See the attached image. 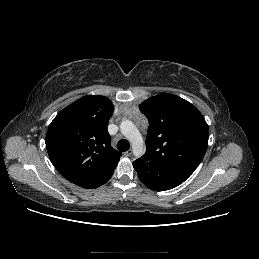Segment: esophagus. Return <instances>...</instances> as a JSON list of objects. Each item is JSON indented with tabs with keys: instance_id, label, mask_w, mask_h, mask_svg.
Instances as JSON below:
<instances>
[{
	"instance_id": "1",
	"label": "esophagus",
	"mask_w": 259,
	"mask_h": 259,
	"mask_svg": "<svg viewBox=\"0 0 259 259\" xmlns=\"http://www.w3.org/2000/svg\"><path fill=\"white\" fill-rule=\"evenodd\" d=\"M124 155H125L126 157L131 156V155H132V150H131V149L127 150L126 152H124Z\"/></svg>"
}]
</instances>
